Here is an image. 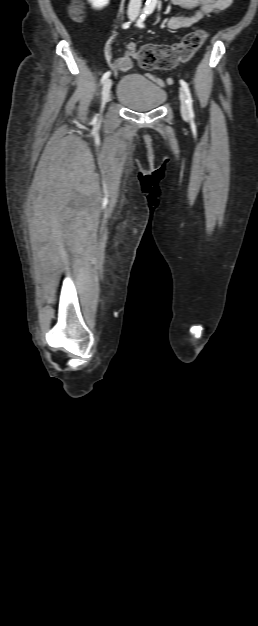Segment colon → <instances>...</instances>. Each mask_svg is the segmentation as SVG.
<instances>
[{
    "mask_svg": "<svg viewBox=\"0 0 258 626\" xmlns=\"http://www.w3.org/2000/svg\"><path fill=\"white\" fill-rule=\"evenodd\" d=\"M72 15L75 19L81 18V9L78 4L73 5ZM206 36L204 30H197L185 36L181 42L175 45L148 44L137 50L135 44L130 43L128 51L138 58L142 68L167 70L179 62L189 60L200 49Z\"/></svg>",
    "mask_w": 258,
    "mask_h": 626,
    "instance_id": "obj_1",
    "label": "colon"
}]
</instances>
